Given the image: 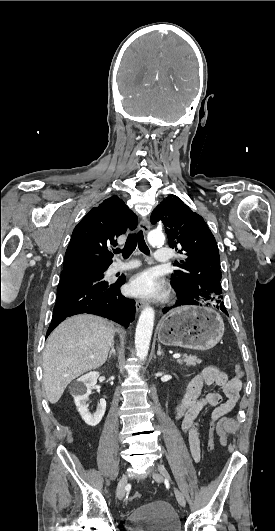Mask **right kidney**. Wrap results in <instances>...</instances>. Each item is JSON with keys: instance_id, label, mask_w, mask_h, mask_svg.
Returning a JSON list of instances; mask_svg holds the SVG:
<instances>
[{"instance_id": "1", "label": "right kidney", "mask_w": 275, "mask_h": 531, "mask_svg": "<svg viewBox=\"0 0 275 531\" xmlns=\"http://www.w3.org/2000/svg\"><path fill=\"white\" fill-rule=\"evenodd\" d=\"M98 377L99 373L97 371H91V373H87V375L76 379L75 383H72L69 387L70 395L74 399L77 411L80 413L84 423L89 425V427H96L102 417H104L106 411L105 399H100L95 413H89L88 405H86L87 399L91 395V389H94Z\"/></svg>"}]
</instances>
